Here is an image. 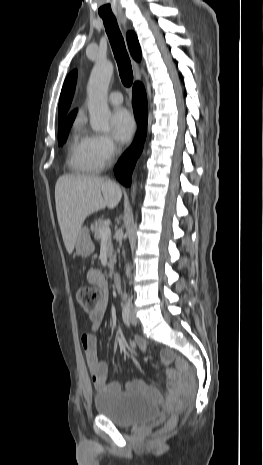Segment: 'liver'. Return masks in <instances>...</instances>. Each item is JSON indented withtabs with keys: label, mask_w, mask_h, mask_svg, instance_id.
<instances>
[{
	"label": "liver",
	"mask_w": 263,
	"mask_h": 465,
	"mask_svg": "<svg viewBox=\"0 0 263 465\" xmlns=\"http://www.w3.org/2000/svg\"><path fill=\"white\" fill-rule=\"evenodd\" d=\"M122 198L120 187L95 175H63L55 185L57 219L65 248L72 254L85 219L105 207L114 209Z\"/></svg>",
	"instance_id": "obj_1"
}]
</instances>
